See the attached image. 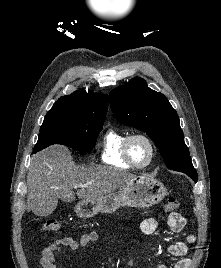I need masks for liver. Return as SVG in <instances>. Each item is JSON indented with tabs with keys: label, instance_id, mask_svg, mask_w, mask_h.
I'll use <instances>...</instances> for the list:
<instances>
[{
	"label": "liver",
	"instance_id": "6515ba94",
	"mask_svg": "<svg viewBox=\"0 0 221 268\" xmlns=\"http://www.w3.org/2000/svg\"><path fill=\"white\" fill-rule=\"evenodd\" d=\"M133 177L129 172L109 166H76L66 147L53 145L31 159L27 174V211L38 216L49 215L51 207H57L58 199L75 200V185H82L76 192L79 199L98 200Z\"/></svg>",
	"mask_w": 221,
	"mask_h": 268
}]
</instances>
